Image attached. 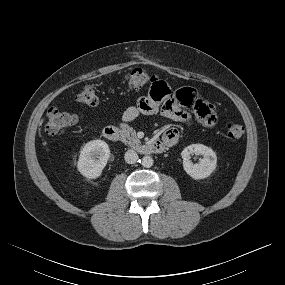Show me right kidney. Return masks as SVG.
Instances as JSON below:
<instances>
[{
    "instance_id": "right-kidney-1",
    "label": "right kidney",
    "mask_w": 285,
    "mask_h": 285,
    "mask_svg": "<svg viewBox=\"0 0 285 285\" xmlns=\"http://www.w3.org/2000/svg\"><path fill=\"white\" fill-rule=\"evenodd\" d=\"M110 156L108 144L102 140H92L82 148L77 164L78 171L88 179L101 176Z\"/></svg>"
}]
</instances>
